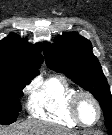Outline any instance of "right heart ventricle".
Returning a JSON list of instances; mask_svg holds the SVG:
<instances>
[{
	"mask_svg": "<svg viewBox=\"0 0 112 135\" xmlns=\"http://www.w3.org/2000/svg\"><path fill=\"white\" fill-rule=\"evenodd\" d=\"M75 91L64 78L52 76L33 89L28 110L35 118L69 128L77 127L79 124L69 106L70 97Z\"/></svg>",
	"mask_w": 112,
	"mask_h": 135,
	"instance_id": "obj_1",
	"label": "right heart ventricle"
}]
</instances>
